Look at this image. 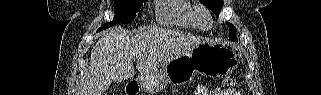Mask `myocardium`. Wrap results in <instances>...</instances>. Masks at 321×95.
<instances>
[{"instance_id": "obj_1", "label": "myocardium", "mask_w": 321, "mask_h": 95, "mask_svg": "<svg viewBox=\"0 0 321 95\" xmlns=\"http://www.w3.org/2000/svg\"><path fill=\"white\" fill-rule=\"evenodd\" d=\"M196 19L199 26L202 29H210L212 27V20L210 17V13L205 8H198L196 12Z\"/></svg>"}]
</instances>
